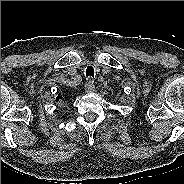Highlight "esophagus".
Returning a JSON list of instances; mask_svg holds the SVG:
<instances>
[{
    "label": "esophagus",
    "instance_id": "esophagus-1",
    "mask_svg": "<svg viewBox=\"0 0 184 184\" xmlns=\"http://www.w3.org/2000/svg\"><path fill=\"white\" fill-rule=\"evenodd\" d=\"M93 80L89 79L87 83L85 84V91L86 92H93L95 90V86L93 84Z\"/></svg>",
    "mask_w": 184,
    "mask_h": 184
}]
</instances>
